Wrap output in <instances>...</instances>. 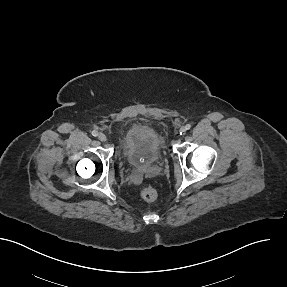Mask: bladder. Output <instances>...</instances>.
Instances as JSON below:
<instances>
[{
  "label": "bladder",
  "mask_w": 287,
  "mask_h": 287,
  "mask_svg": "<svg viewBox=\"0 0 287 287\" xmlns=\"http://www.w3.org/2000/svg\"><path fill=\"white\" fill-rule=\"evenodd\" d=\"M162 150V137L148 126H130L121 136L120 155L133 167L154 163L160 157Z\"/></svg>",
  "instance_id": "obj_1"
}]
</instances>
